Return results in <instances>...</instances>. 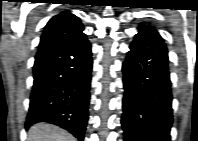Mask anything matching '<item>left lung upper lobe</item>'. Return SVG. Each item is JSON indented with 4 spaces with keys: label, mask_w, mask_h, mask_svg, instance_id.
I'll list each match as a JSON object with an SVG mask.
<instances>
[{
    "label": "left lung upper lobe",
    "mask_w": 198,
    "mask_h": 141,
    "mask_svg": "<svg viewBox=\"0 0 198 141\" xmlns=\"http://www.w3.org/2000/svg\"><path fill=\"white\" fill-rule=\"evenodd\" d=\"M137 35H143V36H153V37H158V38H161V36L159 35V33L153 28V27H150V26H140L138 27V34ZM147 98H145L146 100ZM149 102L146 100V101H142V105H141V108L142 109H149Z\"/></svg>",
    "instance_id": "obj_1"
}]
</instances>
